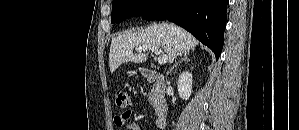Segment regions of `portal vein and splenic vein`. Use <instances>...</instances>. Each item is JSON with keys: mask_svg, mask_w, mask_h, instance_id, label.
I'll list each match as a JSON object with an SVG mask.
<instances>
[{"mask_svg": "<svg viewBox=\"0 0 299 130\" xmlns=\"http://www.w3.org/2000/svg\"><path fill=\"white\" fill-rule=\"evenodd\" d=\"M135 50L138 52L150 50V51L154 52L156 55H159L158 64H164L168 60V56L166 54H161L162 51L160 50V48L158 46H151V45L139 46V47H136Z\"/></svg>", "mask_w": 299, "mask_h": 130, "instance_id": "1", "label": "portal vein and splenic vein"}]
</instances>
